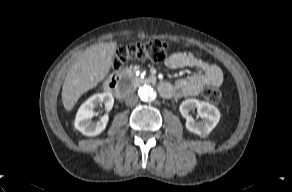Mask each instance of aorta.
Instances as JSON below:
<instances>
[{"label": "aorta", "mask_w": 292, "mask_h": 192, "mask_svg": "<svg viewBox=\"0 0 292 192\" xmlns=\"http://www.w3.org/2000/svg\"><path fill=\"white\" fill-rule=\"evenodd\" d=\"M138 96L143 102H150V101L155 100L156 91L150 85H143L139 87Z\"/></svg>", "instance_id": "762f6f07"}]
</instances>
